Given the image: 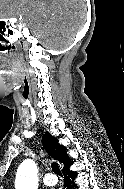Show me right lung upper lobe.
Instances as JSON below:
<instances>
[{
  "label": "right lung upper lobe",
  "instance_id": "cb5924a9",
  "mask_svg": "<svg viewBox=\"0 0 124 189\" xmlns=\"http://www.w3.org/2000/svg\"><path fill=\"white\" fill-rule=\"evenodd\" d=\"M42 142L47 152L54 159L58 160L60 163L64 165L63 169L73 163L67 156L65 148L59 145L57 140L53 138L48 132L44 134Z\"/></svg>",
  "mask_w": 124,
  "mask_h": 189
}]
</instances>
